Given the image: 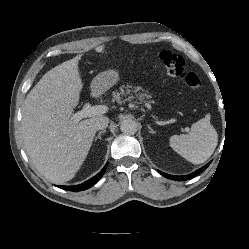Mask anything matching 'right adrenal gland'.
Returning <instances> with one entry per match:
<instances>
[{
  "label": "right adrenal gland",
  "mask_w": 249,
  "mask_h": 249,
  "mask_svg": "<svg viewBox=\"0 0 249 249\" xmlns=\"http://www.w3.org/2000/svg\"><path fill=\"white\" fill-rule=\"evenodd\" d=\"M103 133H105V130H102V131H100V132L98 133V136L95 137V141H96L97 139H100V140H101V139H102V138H101V135H102Z\"/></svg>",
  "instance_id": "1"
}]
</instances>
